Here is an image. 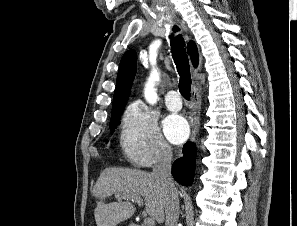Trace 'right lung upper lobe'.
I'll return each instance as SVG.
<instances>
[{"label":"right lung upper lobe","instance_id":"1","mask_svg":"<svg viewBox=\"0 0 297 226\" xmlns=\"http://www.w3.org/2000/svg\"><path fill=\"white\" fill-rule=\"evenodd\" d=\"M187 49L193 65L197 67L198 52L195 43L193 41H190ZM136 62L137 60L135 51L129 50L122 57L119 65L112 109L126 105L130 94V89L136 74Z\"/></svg>","mask_w":297,"mask_h":226}]
</instances>
